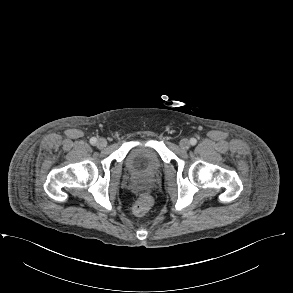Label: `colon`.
Wrapping results in <instances>:
<instances>
[{
    "mask_svg": "<svg viewBox=\"0 0 293 293\" xmlns=\"http://www.w3.org/2000/svg\"><path fill=\"white\" fill-rule=\"evenodd\" d=\"M151 205H152L151 196L147 193H142L138 197L133 207V212L135 215L139 217L144 216L147 213V211L150 209Z\"/></svg>",
    "mask_w": 293,
    "mask_h": 293,
    "instance_id": "1",
    "label": "colon"
}]
</instances>
